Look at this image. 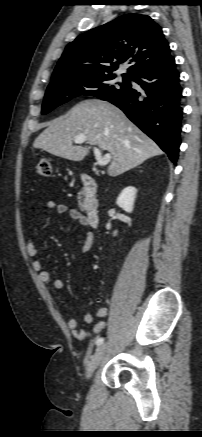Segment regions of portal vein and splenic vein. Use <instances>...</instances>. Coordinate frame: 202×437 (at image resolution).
I'll return each instance as SVG.
<instances>
[{
  "instance_id": "1",
  "label": "portal vein and splenic vein",
  "mask_w": 202,
  "mask_h": 437,
  "mask_svg": "<svg viewBox=\"0 0 202 437\" xmlns=\"http://www.w3.org/2000/svg\"><path fill=\"white\" fill-rule=\"evenodd\" d=\"M74 142L76 144H82V143L86 142V136L83 134L77 135L74 139ZM93 151H94V155H95V158L97 160L98 165L105 166L110 162V160H111L110 153H107L104 156H102L100 150L96 147L93 149Z\"/></svg>"
}]
</instances>
